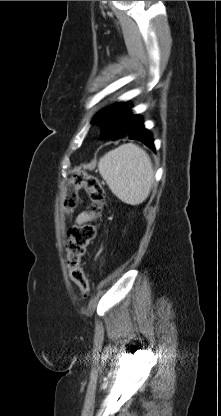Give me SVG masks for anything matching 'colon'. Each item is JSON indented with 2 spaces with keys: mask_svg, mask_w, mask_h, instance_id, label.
Masks as SVG:
<instances>
[{
  "mask_svg": "<svg viewBox=\"0 0 221 416\" xmlns=\"http://www.w3.org/2000/svg\"><path fill=\"white\" fill-rule=\"evenodd\" d=\"M84 187L90 201V211L100 214L104 202L105 191L99 180L92 175H76L66 188L63 208L66 213L75 210L78 202V189ZM97 226L94 223H83L71 227L68 231L66 248V266L70 279L78 286L83 298L87 297L90 287L88 278L81 265V259L86 254L88 246L95 239Z\"/></svg>",
  "mask_w": 221,
  "mask_h": 416,
  "instance_id": "1",
  "label": "colon"
}]
</instances>
